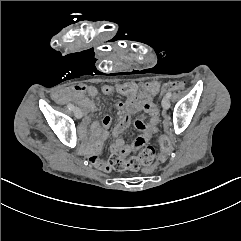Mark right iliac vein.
Instances as JSON below:
<instances>
[{"label": "right iliac vein", "mask_w": 241, "mask_h": 241, "mask_svg": "<svg viewBox=\"0 0 241 241\" xmlns=\"http://www.w3.org/2000/svg\"><path fill=\"white\" fill-rule=\"evenodd\" d=\"M74 115L77 119H80L82 117V111L80 108H75L74 109Z\"/></svg>", "instance_id": "63e3f726"}]
</instances>
